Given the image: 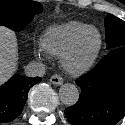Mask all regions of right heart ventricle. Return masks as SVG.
<instances>
[{
  "instance_id": "e07e8e85",
  "label": "right heart ventricle",
  "mask_w": 125,
  "mask_h": 125,
  "mask_svg": "<svg viewBox=\"0 0 125 125\" xmlns=\"http://www.w3.org/2000/svg\"><path fill=\"white\" fill-rule=\"evenodd\" d=\"M88 27L89 24L80 21L53 24L45 30L42 41L50 55L60 56L74 37Z\"/></svg>"
}]
</instances>
